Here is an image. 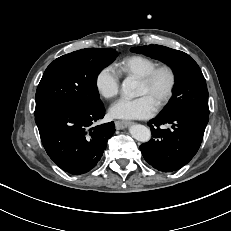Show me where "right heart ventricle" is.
Returning <instances> with one entry per match:
<instances>
[{"label":"right heart ventricle","mask_w":231,"mask_h":231,"mask_svg":"<svg viewBox=\"0 0 231 231\" xmlns=\"http://www.w3.org/2000/svg\"><path fill=\"white\" fill-rule=\"evenodd\" d=\"M157 65L156 61L143 55H130L115 64L120 74L142 77Z\"/></svg>","instance_id":"right-heart-ventricle-1"}]
</instances>
